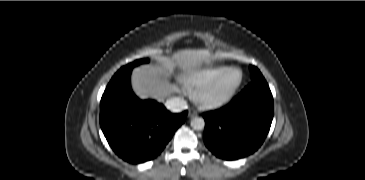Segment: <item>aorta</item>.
I'll return each instance as SVG.
<instances>
[{
	"instance_id": "1",
	"label": "aorta",
	"mask_w": 365,
	"mask_h": 180,
	"mask_svg": "<svg viewBox=\"0 0 365 180\" xmlns=\"http://www.w3.org/2000/svg\"><path fill=\"white\" fill-rule=\"evenodd\" d=\"M190 125L194 130H202L205 127V121L201 117H194L192 118Z\"/></svg>"
}]
</instances>
